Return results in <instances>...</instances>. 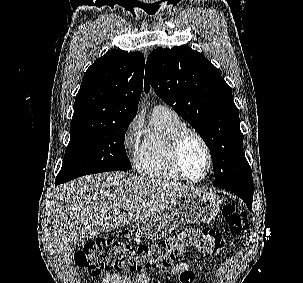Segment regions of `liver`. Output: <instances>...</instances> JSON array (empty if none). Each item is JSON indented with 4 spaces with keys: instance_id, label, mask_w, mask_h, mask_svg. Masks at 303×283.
<instances>
[{
    "instance_id": "obj_1",
    "label": "liver",
    "mask_w": 303,
    "mask_h": 283,
    "mask_svg": "<svg viewBox=\"0 0 303 283\" xmlns=\"http://www.w3.org/2000/svg\"><path fill=\"white\" fill-rule=\"evenodd\" d=\"M201 189L122 172L89 175L57 190L53 202L55 248L68 265L82 239L138 222L161 211L174 199Z\"/></svg>"
}]
</instances>
